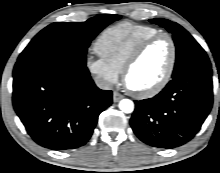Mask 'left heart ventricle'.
Segmentation results:
<instances>
[{
    "label": "left heart ventricle",
    "mask_w": 220,
    "mask_h": 173,
    "mask_svg": "<svg viewBox=\"0 0 220 173\" xmlns=\"http://www.w3.org/2000/svg\"><path fill=\"white\" fill-rule=\"evenodd\" d=\"M171 57V46L166 38L153 42L127 76V85L137 91L154 86L165 74Z\"/></svg>",
    "instance_id": "obj_1"
}]
</instances>
